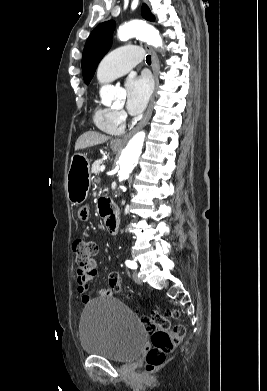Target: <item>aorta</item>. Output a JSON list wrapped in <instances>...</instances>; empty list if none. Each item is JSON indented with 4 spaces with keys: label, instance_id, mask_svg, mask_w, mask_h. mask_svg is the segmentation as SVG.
I'll return each mask as SVG.
<instances>
[{
    "label": "aorta",
    "instance_id": "762f6f07",
    "mask_svg": "<svg viewBox=\"0 0 267 391\" xmlns=\"http://www.w3.org/2000/svg\"><path fill=\"white\" fill-rule=\"evenodd\" d=\"M117 37L121 41L136 37L147 42L153 47H162L163 42L158 30L142 21H131L121 25L117 31ZM118 92L112 85H105L100 90L103 102L116 101ZM145 132H138L122 150L118 160L117 176L119 183L127 180L132 173L142 152Z\"/></svg>",
    "mask_w": 267,
    "mask_h": 391
}]
</instances>
